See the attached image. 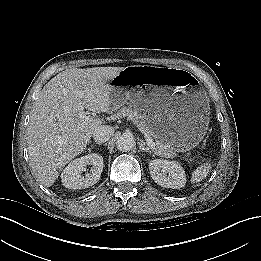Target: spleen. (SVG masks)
Listing matches in <instances>:
<instances>
[{"mask_svg":"<svg viewBox=\"0 0 261 261\" xmlns=\"http://www.w3.org/2000/svg\"><path fill=\"white\" fill-rule=\"evenodd\" d=\"M210 170H211L210 163H205V164L197 167L192 173L191 183L194 184V183H197V182H200L201 180H203L208 175Z\"/></svg>","mask_w":261,"mask_h":261,"instance_id":"1","label":"spleen"}]
</instances>
